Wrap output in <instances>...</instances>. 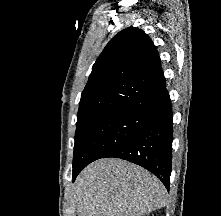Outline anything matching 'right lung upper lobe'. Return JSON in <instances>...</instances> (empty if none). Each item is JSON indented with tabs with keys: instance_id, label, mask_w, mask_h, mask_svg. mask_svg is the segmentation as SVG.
Returning a JSON list of instances; mask_svg holds the SVG:
<instances>
[{
	"instance_id": "right-lung-upper-lobe-1",
	"label": "right lung upper lobe",
	"mask_w": 221,
	"mask_h": 216,
	"mask_svg": "<svg viewBox=\"0 0 221 216\" xmlns=\"http://www.w3.org/2000/svg\"><path fill=\"white\" fill-rule=\"evenodd\" d=\"M167 93L153 42L142 30L126 28L109 41L93 65L77 124L119 111L148 113Z\"/></svg>"
}]
</instances>
